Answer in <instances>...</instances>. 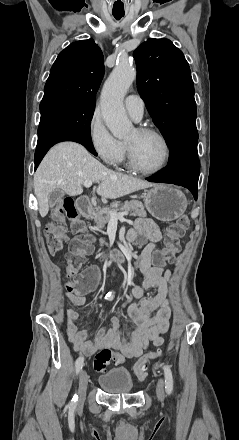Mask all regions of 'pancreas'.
Instances as JSON below:
<instances>
[{"instance_id":"pancreas-1","label":"pancreas","mask_w":239,"mask_h":440,"mask_svg":"<svg viewBox=\"0 0 239 440\" xmlns=\"http://www.w3.org/2000/svg\"><path fill=\"white\" fill-rule=\"evenodd\" d=\"M93 210L94 212H92V216L96 224L94 228H104L105 224H108V222H110L111 216H109L108 212H132L130 216H139V218H146L144 206L142 202H138V200H129V202H124L121 208L117 206V202H114L112 210H100V208H93ZM100 246H108V244L104 242L103 238H100Z\"/></svg>"}]
</instances>
